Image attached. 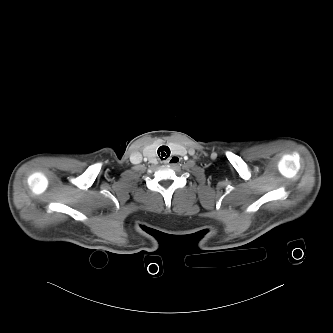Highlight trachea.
Masks as SVG:
<instances>
[{
	"mask_svg": "<svg viewBox=\"0 0 333 333\" xmlns=\"http://www.w3.org/2000/svg\"><path fill=\"white\" fill-rule=\"evenodd\" d=\"M157 152L161 160L170 156V149L168 146H160Z\"/></svg>",
	"mask_w": 333,
	"mask_h": 333,
	"instance_id": "3493384b",
	"label": "trachea"
}]
</instances>
